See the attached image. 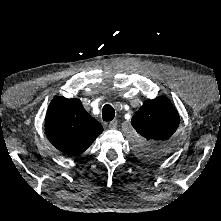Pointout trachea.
<instances>
[{
    "instance_id": "trachea-1",
    "label": "trachea",
    "mask_w": 221,
    "mask_h": 221,
    "mask_svg": "<svg viewBox=\"0 0 221 221\" xmlns=\"http://www.w3.org/2000/svg\"><path fill=\"white\" fill-rule=\"evenodd\" d=\"M114 117H115V110H114V108L111 105L106 104L103 107V110H102V118H103V120L108 122V121L113 120Z\"/></svg>"
}]
</instances>
